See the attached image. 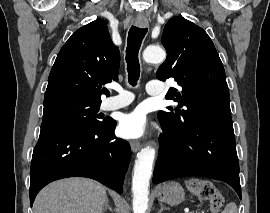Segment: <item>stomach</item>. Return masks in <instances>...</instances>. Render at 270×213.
Returning <instances> with one entry per match:
<instances>
[{"instance_id": "obj_1", "label": "stomach", "mask_w": 270, "mask_h": 213, "mask_svg": "<svg viewBox=\"0 0 270 213\" xmlns=\"http://www.w3.org/2000/svg\"><path fill=\"white\" fill-rule=\"evenodd\" d=\"M156 196L161 202L176 205L184 200L185 193L178 182L171 181L160 185L157 189Z\"/></svg>"}]
</instances>
